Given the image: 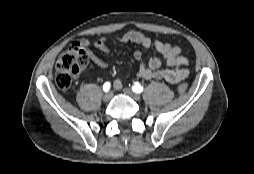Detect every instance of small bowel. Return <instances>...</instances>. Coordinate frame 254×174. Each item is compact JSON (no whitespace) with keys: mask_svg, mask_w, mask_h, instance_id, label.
Listing matches in <instances>:
<instances>
[{"mask_svg":"<svg viewBox=\"0 0 254 174\" xmlns=\"http://www.w3.org/2000/svg\"><path fill=\"white\" fill-rule=\"evenodd\" d=\"M118 43H135L143 46L144 48H154L159 52L164 58L168 68H162V62L159 58L152 57L148 61L143 62L138 70V76L146 80H165L169 83L176 84L189 75V70L187 68L189 61L181 54V49L178 46H174L170 43L152 40L151 38L145 36L138 31H129L122 36L115 39ZM80 44L87 48L90 45L89 40L82 39ZM96 49L108 52L110 51V43L106 38H98L94 42ZM89 56L94 64L102 69H106L107 62L89 52ZM143 53L140 50L134 52V58L136 60H141ZM114 87L119 90L122 87V80L117 79L114 82Z\"/></svg>","mask_w":254,"mask_h":174,"instance_id":"c3829d8e","label":"small bowel"}]
</instances>
